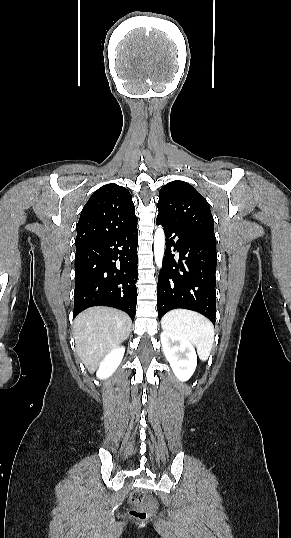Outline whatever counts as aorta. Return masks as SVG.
Listing matches in <instances>:
<instances>
[{"instance_id": "obj_1", "label": "aorta", "mask_w": 291, "mask_h": 538, "mask_svg": "<svg viewBox=\"0 0 291 538\" xmlns=\"http://www.w3.org/2000/svg\"><path fill=\"white\" fill-rule=\"evenodd\" d=\"M165 250V234L162 228H157L154 234V257L155 263L160 269Z\"/></svg>"}]
</instances>
